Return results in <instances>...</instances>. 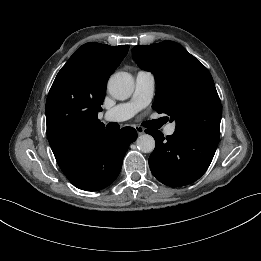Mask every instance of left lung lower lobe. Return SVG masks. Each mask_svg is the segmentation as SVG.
Wrapping results in <instances>:
<instances>
[{
	"label": "left lung lower lobe",
	"mask_w": 261,
	"mask_h": 261,
	"mask_svg": "<svg viewBox=\"0 0 261 261\" xmlns=\"http://www.w3.org/2000/svg\"><path fill=\"white\" fill-rule=\"evenodd\" d=\"M156 141L149 157L152 174L165 185L178 187L199 179L209 167L219 138L175 131L165 139L159 130H146Z\"/></svg>",
	"instance_id": "0a47b994"
}]
</instances>
